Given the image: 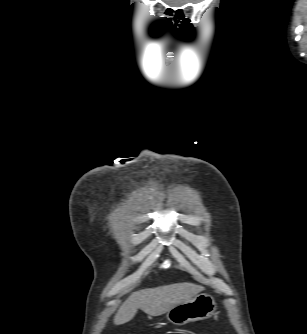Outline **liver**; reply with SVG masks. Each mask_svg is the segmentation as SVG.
I'll list each match as a JSON object with an SVG mask.
<instances>
[{
	"mask_svg": "<svg viewBox=\"0 0 307 334\" xmlns=\"http://www.w3.org/2000/svg\"><path fill=\"white\" fill-rule=\"evenodd\" d=\"M203 290L204 287L193 283H176L133 292L119 307L114 317V324L129 322L138 309L151 316L162 315Z\"/></svg>",
	"mask_w": 307,
	"mask_h": 334,
	"instance_id": "6515ba94",
	"label": "liver"
}]
</instances>
